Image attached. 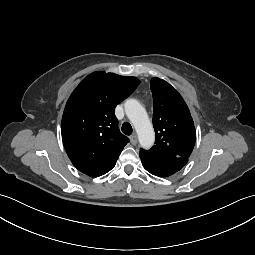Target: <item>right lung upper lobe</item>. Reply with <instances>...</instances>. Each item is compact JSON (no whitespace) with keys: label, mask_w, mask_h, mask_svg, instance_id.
<instances>
[{"label":"right lung upper lobe","mask_w":255,"mask_h":255,"mask_svg":"<svg viewBox=\"0 0 255 255\" xmlns=\"http://www.w3.org/2000/svg\"><path fill=\"white\" fill-rule=\"evenodd\" d=\"M135 77L97 71L75 88L64 109L61 132L73 165L90 177L109 172L129 142L118 128L115 107L139 85Z\"/></svg>","instance_id":"1"}]
</instances>
